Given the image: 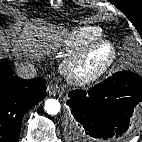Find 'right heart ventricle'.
I'll return each mask as SVG.
<instances>
[{"instance_id":"1","label":"right heart ventricle","mask_w":142,"mask_h":142,"mask_svg":"<svg viewBox=\"0 0 142 142\" xmlns=\"http://www.w3.org/2000/svg\"><path fill=\"white\" fill-rule=\"evenodd\" d=\"M102 37V32L99 28L84 26L77 29L72 35L68 37L64 44V52L74 53Z\"/></svg>"}]
</instances>
